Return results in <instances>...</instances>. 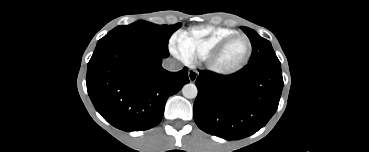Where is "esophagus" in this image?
Segmentation results:
<instances>
[{
	"label": "esophagus",
	"mask_w": 369,
	"mask_h": 152,
	"mask_svg": "<svg viewBox=\"0 0 369 152\" xmlns=\"http://www.w3.org/2000/svg\"><path fill=\"white\" fill-rule=\"evenodd\" d=\"M198 77V72L196 70L188 71V78L191 82H194Z\"/></svg>",
	"instance_id": "34e87169"
}]
</instances>
